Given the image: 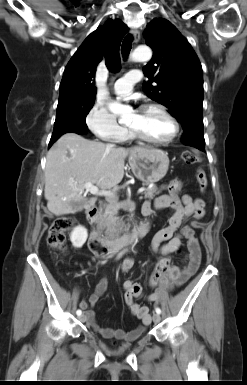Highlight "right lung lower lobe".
<instances>
[{
	"instance_id": "obj_1",
	"label": "right lung lower lobe",
	"mask_w": 247,
	"mask_h": 385,
	"mask_svg": "<svg viewBox=\"0 0 247 385\" xmlns=\"http://www.w3.org/2000/svg\"><path fill=\"white\" fill-rule=\"evenodd\" d=\"M87 131H88V128H71V129H67V130H64V131L59 132V133H53L51 140H50V143H49V147L64 133L73 132V133H77L79 135H84L87 133Z\"/></svg>"
}]
</instances>
